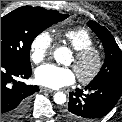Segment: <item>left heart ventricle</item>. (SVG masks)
<instances>
[{
    "instance_id": "obj_1",
    "label": "left heart ventricle",
    "mask_w": 122,
    "mask_h": 122,
    "mask_svg": "<svg viewBox=\"0 0 122 122\" xmlns=\"http://www.w3.org/2000/svg\"><path fill=\"white\" fill-rule=\"evenodd\" d=\"M72 65L74 66V69L76 71V73H81V74H86L89 73L94 65V61L92 59H88L87 61H85L84 63H82L80 66H78L77 68H75V59L73 57V59L71 60Z\"/></svg>"
}]
</instances>
